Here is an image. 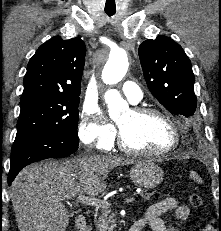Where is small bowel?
I'll return each mask as SVG.
<instances>
[{
	"instance_id": "1",
	"label": "small bowel",
	"mask_w": 221,
	"mask_h": 231,
	"mask_svg": "<svg viewBox=\"0 0 221 231\" xmlns=\"http://www.w3.org/2000/svg\"><path fill=\"white\" fill-rule=\"evenodd\" d=\"M167 211H174L175 219L179 222H189L191 219L190 209L180 204L175 198L167 197L152 204L144 218L137 221L141 228H149L151 231H182L167 223L161 215ZM200 231H215L211 225L203 227Z\"/></svg>"
}]
</instances>
